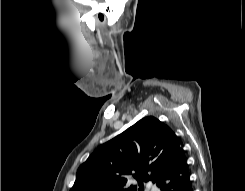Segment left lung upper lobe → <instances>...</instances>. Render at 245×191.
Returning a JSON list of instances; mask_svg holds the SVG:
<instances>
[{"mask_svg":"<svg viewBox=\"0 0 245 191\" xmlns=\"http://www.w3.org/2000/svg\"><path fill=\"white\" fill-rule=\"evenodd\" d=\"M182 144L172 129L153 116L136 122L99 146L79 167L70 191H143L174 162ZM130 176L139 182L127 187Z\"/></svg>","mask_w":245,"mask_h":191,"instance_id":"left-lung-upper-lobe-1","label":"left lung upper lobe"}]
</instances>
